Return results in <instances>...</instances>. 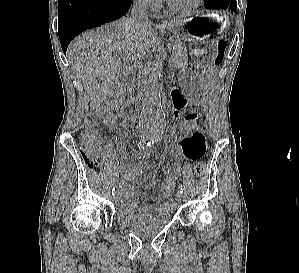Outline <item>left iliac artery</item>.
I'll use <instances>...</instances> for the list:
<instances>
[{
    "label": "left iliac artery",
    "instance_id": "44dca946",
    "mask_svg": "<svg viewBox=\"0 0 299 273\" xmlns=\"http://www.w3.org/2000/svg\"><path fill=\"white\" fill-rule=\"evenodd\" d=\"M178 190H179L180 193H183V192H184V189H183L182 185H179V186H178Z\"/></svg>",
    "mask_w": 299,
    "mask_h": 273
}]
</instances>
